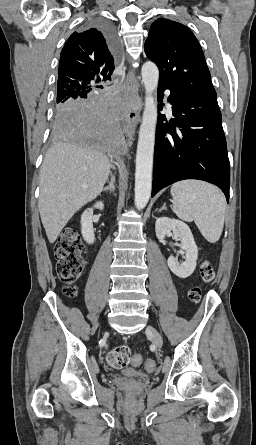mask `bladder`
Listing matches in <instances>:
<instances>
[{
	"mask_svg": "<svg viewBox=\"0 0 256 445\" xmlns=\"http://www.w3.org/2000/svg\"><path fill=\"white\" fill-rule=\"evenodd\" d=\"M122 373L124 376L131 377V378H144L145 377V375L142 372H140L136 369H132V368L124 369L122 371Z\"/></svg>",
	"mask_w": 256,
	"mask_h": 445,
	"instance_id": "bladder-1",
	"label": "bladder"
}]
</instances>
